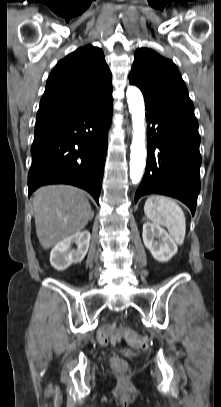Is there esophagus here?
Listing matches in <instances>:
<instances>
[{
    "instance_id": "1",
    "label": "esophagus",
    "mask_w": 221,
    "mask_h": 407,
    "mask_svg": "<svg viewBox=\"0 0 221 407\" xmlns=\"http://www.w3.org/2000/svg\"><path fill=\"white\" fill-rule=\"evenodd\" d=\"M127 133H128V135H130V128L127 129Z\"/></svg>"
}]
</instances>
